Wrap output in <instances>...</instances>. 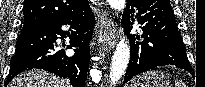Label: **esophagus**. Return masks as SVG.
Wrapping results in <instances>:
<instances>
[{
    "instance_id": "obj_1",
    "label": "esophagus",
    "mask_w": 205,
    "mask_h": 87,
    "mask_svg": "<svg viewBox=\"0 0 205 87\" xmlns=\"http://www.w3.org/2000/svg\"><path fill=\"white\" fill-rule=\"evenodd\" d=\"M101 27L100 36L102 37V48L106 53H109L116 45V38L118 31L115 28L113 21L109 17V13L106 9H101Z\"/></svg>"
}]
</instances>
